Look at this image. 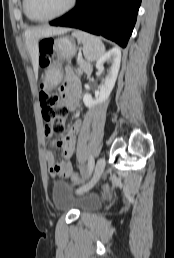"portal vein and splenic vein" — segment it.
I'll use <instances>...</instances> for the list:
<instances>
[{"label":"portal vein and splenic vein","instance_id":"18ae733b","mask_svg":"<svg viewBox=\"0 0 174 258\" xmlns=\"http://www.w3.org/2000/svg\"><path fill=\"white\" fill-rule=\"evenodd\" d=\"M82 58V55H78V59Z\"/></svg>","mask_w":174,"mask_h":258}]
</instances>
